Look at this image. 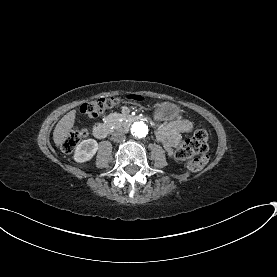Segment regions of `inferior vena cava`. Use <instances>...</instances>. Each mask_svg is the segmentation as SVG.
I'll return each instance as SVG.
<instances>
[{
	"instance_id": "602c4592",
	"label": "inferior vena cava",
	"mask_w": 277,
	"mask_h": 277,
	"mask_svg": "<svg viewBox=\"0 0 277 277\" xmlns=\"http://www.w3.org/2000/svg\"><path fill=\"white\" fill-rule=\"evenodd\" d=\"M125 135L121 132H114L112 134V140H114L115 142H122L125 140Z\"/></svg>"
}]
</instances>
